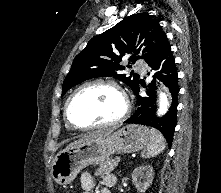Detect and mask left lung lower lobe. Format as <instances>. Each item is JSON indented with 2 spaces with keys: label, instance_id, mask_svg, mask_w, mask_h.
<instances>
[{
  "label": "left lung lower lobe",
  "instance_id": "0a47b994",
  "mask_svg": "<svg viewBox=\"0 0 221 193\" xmlns=\"http://www.w3.org/2000/svg\"><path fill=\"white\" fill-rule=\"evenodd\" d=\"M175 58L172 55L171 46L168 40L163 43L161 48L146 62L151 67V73L154 79L150 83V89L147 91L148 96H140V84L133 91L137 97L138 108L132 117L127 119L125 123L141 124L158 129L166 138L168 145L171 146L173 140L174 129L177 120L178 105V74L175 67ZM155 78L159 79L169 89L171 93V107L165 116L158 118L156 112V89Z\"/></svg>",
  "mask_w": 221,
  "mask_h": 193
}]
</instances>
